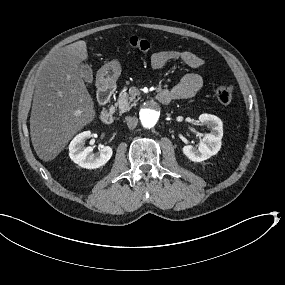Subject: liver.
<instances>
[{
    "mask_svg": "<svg viewBox=\"0 0 285 285\" xmlns=\"http://www.w3.org/2000/svg\"><path fill=\"white\" fill-rule=\"evenodd\" d=\"M87 58L85 41L69 44L48 58L36 83L30 135L36 154L45 162L53 160L96 116L81 76L80 64Z\"/></svg>",
    "mask_w": 285,
    "mask_h": 285,
    "instance_id": "obj_1",
    "label": "liver"
}]
</instances>
